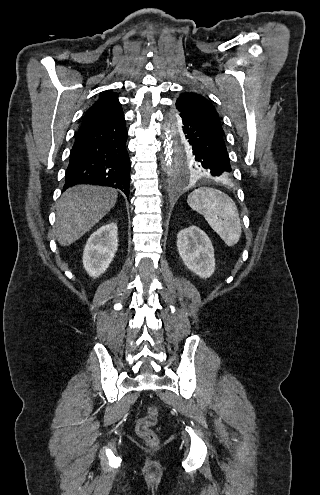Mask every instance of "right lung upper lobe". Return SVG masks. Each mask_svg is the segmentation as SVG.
<instances>
[{"label": "right lung upper lobe", "instance_id": "right-lung-upper-lobe-1", "mask_svg": "<svg viewBox=\"0 0 320 495\" xmlns=\"http://www.w3.org/2000/svg\"><path fill=\"white\" fill-rule=\"evenodd\" d=\"M123 120H125L124 113L118 100V94L111 90H106L86 111L79 131Z\"/></svg>", "mask_w": 320, "mask_h": 495}]
</instances>
